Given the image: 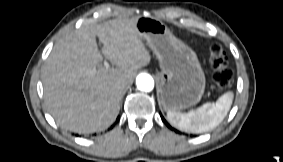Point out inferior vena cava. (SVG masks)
Segmentation results:
<instances>
[{
  "instance_id": "602c4592",
  "label": "inferior vena cava",
  "mask_w": 283,
  "mask_h": 162,
  "mask_svg": "<svg viewBox=\"0 0 283 162\" xmlns=\"http://www.w3.org/2000/svg\"><path fill=\"white\" fill-rule=\"evenodd\" d=\"M119 83L121 84V86H122L123 88H125V87H126V83H125V81H124V80H120V81H119Z\"/></svg>"
}]
</instances>
